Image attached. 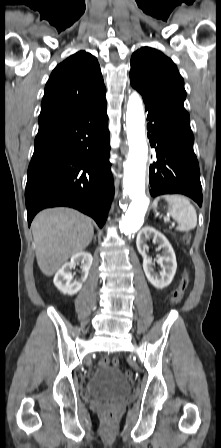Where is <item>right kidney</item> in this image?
<instances>
[{
  "mask_svg": "<svg viewBox=\"0 0 221 448\" xmlns=\"http://www.w3.org/2000/svg\"><path fill=\"white\" fill-rule=\"evenodd\" d=\"M92 255L88 252H79L71 257V261L65 263L61 269L55 274L54 285L63 294L74 295L81 288L86 281L89 273V269L92 265ZM81 263V277L73 280L71 273L72 268Z\"/></svg>",
  "mask_w": 221,
  "mask_h": 448,
  "instance_id": "1",
  "label": "right kidney"
}]
</instances>
